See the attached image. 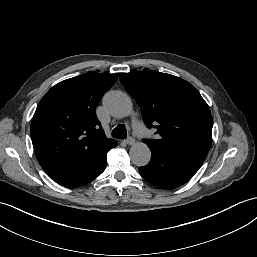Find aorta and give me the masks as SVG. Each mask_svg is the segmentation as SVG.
<instances>
[{"label":"aorta","instance_id":"aorta-1","mask_svg":"<svg viewBox=\"0 0 257 257\" xmlns=\"http://www.w3.org/2000/svg\"><path fill=\"white\" fill-rule=\"evenodd\" d=\"M106 110L116 118H124L132 112V102L129 96L121 91L108 92L103 99ZM132 163L138 167L146 166L151 159L149 147L142 142L135 143L129 151Z\"/></svg>","mask_w":257,"mask_h":257}]
</instances>
